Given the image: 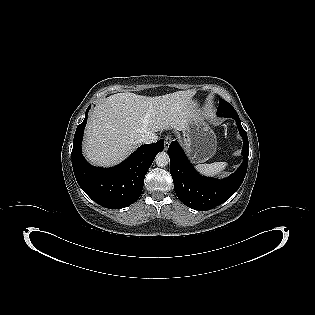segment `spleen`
<instances>
[{"label": "spleen", "mask_w": 315, "mask_h": 315, "mask_svg": "<svg viewBox=\"0 0 315 315\" xmlns=\"http://www.w3.org/2000/svg\"><path fill=\"white\" fill-rule=\"evenodd\" d=\"M226 166V162H214L211 164H198L195 167L200 173L204 175L215 176L220 174Z\"/></svg>", "instance_id": "3e777b00"}]
</instances>
